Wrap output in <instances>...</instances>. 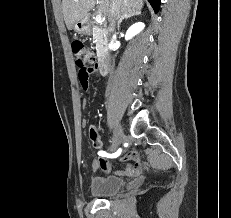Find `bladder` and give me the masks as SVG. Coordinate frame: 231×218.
<instances>
[{"mask_svg":"<svg viewBox=\"0 0 231 218\" xmlns=\"http://www.w3.org/2000/svg\"><path fill=\"white\" fill-rule=\"evenodd\" d=\"M124 187V180L116 176L95 177L91 181L90 192L95 197H109Z\"/></svg>","mask_w":231,"mask_h":218,"instance_id":"1","label":"bladder"}]
</instances>
